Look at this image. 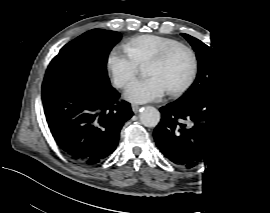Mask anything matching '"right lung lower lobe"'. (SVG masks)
I'll use <instances>...</instances> for the list:
<instances>
[{
	"instance_id": "98d812e1",
	"label": "right lung lower lobe",
	"mask_w": 270,
	"mask_h": 213,
	"mask_svg": "<svg viewBox=\"0 0 270 213\" xmlns=\"http://www.w3.org/2000/svg\"><path fill=\"white\" fill-rule=\"evenodd\" d=\"M109 84L74 76L45 77L44 113L57 145L72 160L95 165L118 145L120 130L133 112Z\"/></svg>"
}]
</instances>
